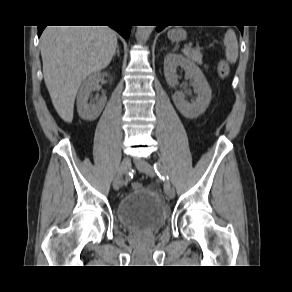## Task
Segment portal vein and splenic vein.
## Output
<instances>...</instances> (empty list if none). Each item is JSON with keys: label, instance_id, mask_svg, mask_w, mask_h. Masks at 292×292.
Instances as JSON below:
<instances>
[{"label": "portal vein and splenic vein", "instance_id": "18ae733b", "mask_svg": "<svg viewBox=\"0 0 292 292\" xmlns=\"http://www.w3.org/2000/svg\"><path fill=\"white\" fill-rule=\"evenodd\" d=\"M188 50V47L184 48L183 52L187 51Z\"/></svg>", "mask_w": 292, "mask_h": 292}]
</instances>
